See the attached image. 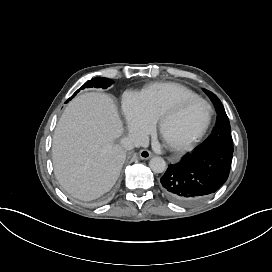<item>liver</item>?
I'll list each match as a JSON object with an SVG mask.
<instances>
[{"mask_svg":"<svg viewBox=\"0 0 272 272\" xmlns=\"http://www.w3.org/2000/svg\"><path fill=\"white\" fill-rule=\"evenodd\" d=\"M123 123L113 99L89 92L75 97L62 113L54 131V174L72 197L97 199L115 185L126 152L115 140Z\"/></svg>","mask_w":272,"mask_h":272,"instance_id":"6515ba94","label":"liver"}]
</instances>
